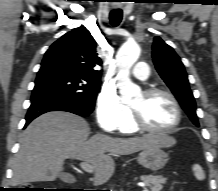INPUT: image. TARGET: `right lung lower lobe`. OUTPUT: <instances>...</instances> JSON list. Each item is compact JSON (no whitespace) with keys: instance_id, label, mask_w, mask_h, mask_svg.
I'll return each instance as SVG.
<instances>
[{"instance_id":"1","label":"right lung lower lobe","mask_w":218,"mask_h":191,"mask_svg":"<svg viewBox=\"0 0 218 191\" xmlns=\"http://www.w3.org/2000/svg\"><path fill=\"white\" fill-rule=\"evenodd\" d=\"M93 105H86L75 99L67 98L61 94L41 92L31 98V105L26 115L25 127L36 117L49 111H67L83 117H87L92 111Z\"/></svg>"}]
</instances>
